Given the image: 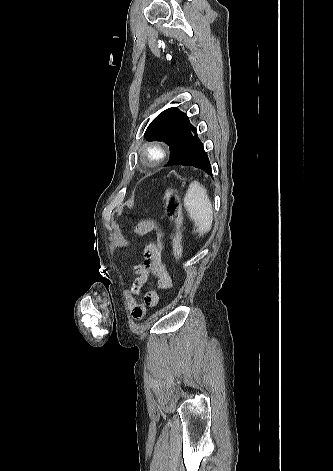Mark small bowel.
Segmentation results:
<instances>
[{
    "mask_svg": "<svg viewBox=\"0 0 333 471\" xmlns=\"http://www.w3.org/2000/svg\"><path fill=\"white\" fill-rule=\"evenodd\" d=\"M137 231L140 234H146L158 229L151 221L141 222ZM145 262L136 264L130 268V272L136 276L133 285L123 291L126 306L135 320H141L149 307L156 306L160 301V296L155 290H147L141 301L138 297L142 293L144 285L148 282L150 276L156 279L157 288L160 290L170 289L173 285L172 278L163 261V245L158 233V239L146 245L144 249Z\"/></svg>",
    "mask_w": 333,
    "mask_h": 471,
    "instance_id": "c3829d8e",
    "label": "small bowel"
}]
</instances>
